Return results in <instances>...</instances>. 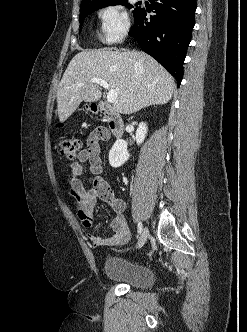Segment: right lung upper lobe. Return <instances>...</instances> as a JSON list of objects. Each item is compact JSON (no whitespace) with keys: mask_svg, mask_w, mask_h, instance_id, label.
Masks as SVG:
<instances>
[{"mask_svg":"<svg viewBox=\"0 0 247 332\" xmlns=\"http://www.w3.org/2000/svg\"><path fill=\"white\" fill-rule=\"evenodd\" d=\"M104 1H107V0H82L80 8L86 7V6H89V5H93V4H96V3H101V2H104Z\"/></svg>","mask_w":247,"mask_h":332,"instance_id":"1","label":"right lung upper lobe"}]
</instances>
